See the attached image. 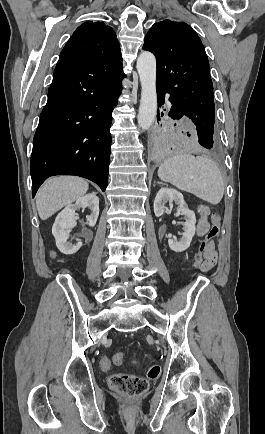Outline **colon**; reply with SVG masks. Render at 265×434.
I'll return each instance as SVG.
<instances>
[{
    "instance_id": "5ec220e1",
    "label": "colon",
    "mask_w": 265,
    "mask_h": 434,
    "mask_svg": "<svg viewBox=\"0 0 265 434\" xmlns=\"http://www.w3.org/2000/svg\"><path fill=\"white\" fill-rule=\"evenodd\" d=\"M221 218L222 216L220 212H216L212 216L211 228L204 236L200 250L194 257V267L197 269H200V261H204V255L206 254L203 252V249L208 246V241L216 239L219 234ZM122 362L123 355L121 353H117L113 356L112 362L106 358H102L100 360V367L103 370H108L110 369L112 363L121 364ZM161 374L162 370L157 365L148 367L146 371V376L149 380H156L161 376ZM147 379L143 380L142 376L134 373H118L112 375L108 382L110 387L117 392L127 395H140L146 393L149 389V383Z\"/></svg>"
}]
</instances>
